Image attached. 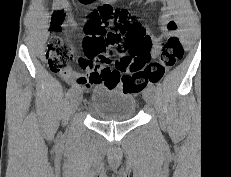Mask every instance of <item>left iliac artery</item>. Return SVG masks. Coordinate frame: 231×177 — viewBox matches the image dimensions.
<instances>
[{
    "mask_svg": "<svg viewBox=\"0 0 231 177\" xmlns=\"http://www.w3.org/2000/svg\"><path fill=\"white\" fill-rule=\"evenodd\" d=\"M149 88H151L152 90H155V86L152 83L149 84Z\"/></svg>",
    "mask_w": 231,
    "mask_h": 177,
    "instance_id": "obj_1",
    "label": "left iliac artery"
}]
</instances>
